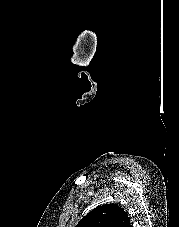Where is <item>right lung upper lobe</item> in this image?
Returning a JSON list of instances; mask_svg holds the SVG:
<instances>
[{"instance_id":"1","label":"right lung upper lobe","mask_w":179,"mask_h":227,"mask_svg":"<svg viewBox=\"0 0 179 227\" xmlns=\"http://www.w3.org/2000/svg\"><path fill=\"white\" fill-rule=\"evenodd\" d=\"M76 227H131V225L123 208L117 204H105L90 211Z\"/></svg>"}]
</instances>
